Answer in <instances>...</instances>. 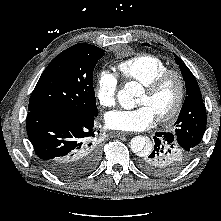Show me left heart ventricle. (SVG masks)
Wrapping results in <instances>:
<instances>
[{"instance_id":"obj_1","label":"left heart ventricle","mask_w":221,"mask_h":221,"mask_svg":"<svg viewBox=\"0 0 221 221\" xmlns=\"http://www.w3.org/2000/svg\"><path fill=\"white\" fill-rule=\"evenodd\" d=\"M178 87L174 79L168 80L165 85L154 95L145 90L140 95L137 104L147 105L155 116L166 113L173 106L177 97Z\"/></svg>"}]
</instances>
